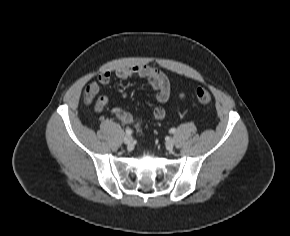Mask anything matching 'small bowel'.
<instances>
[{
	"instance_id": "1",
	"label": "small bowel",
	"mask_w": 290,
	"mask_h": 236,
	"mask_svg": "<svg viewBox=\"0 0 290 236\" xmlns=\"http://www.w3.org/2000/svg\"><path fill=\"white\" fill-rule=\"evenodd\" d=\"M115 76L119 80H126L133 76L146 79L152 86L156 94V101L159 104L154 107L152 116L155 120H162L165 117V109L161 104L166 103L170 98L171 83L163 72L148 65H132L117 69L115 71ZM111 77L112 73L110 71L102 72L95 81L87 86L86 90L91 91L95 97L99 92L100 86L107 85ZM108 102L109 100L106 96H98L94 104V111L98 114L102 113L108 105ZM112 113L123 124H129L133 120L132 115L123 108H114Z\"/></svg>"
}]
</instances>
